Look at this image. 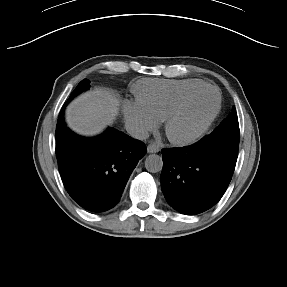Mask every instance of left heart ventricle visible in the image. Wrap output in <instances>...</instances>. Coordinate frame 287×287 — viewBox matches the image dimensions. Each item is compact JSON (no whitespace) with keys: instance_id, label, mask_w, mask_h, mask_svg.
Returning a JSON list of instances; mask_svg holds the SVG:
<instances>
[{"instance_id":"obj_1","label":"left heart ventricle","mask_w":287,"mask_h":287,"mask_svg":"<svg viewBox=\"0 0 287 287\" xmlns=\"http://www.w3.org/2000/svg\"><path fill=\"white\" fill-rule=\"evenodd\" d=\"M215 105V95L210 90L196 93L172 126V134L185 137L197 131L206 121Z\"/></svg>"}]
</instances>
